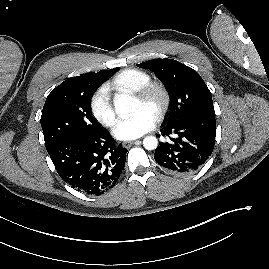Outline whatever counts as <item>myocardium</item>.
<instances>
[{"label": "myocardium", "instance_id": "f54148a6", "mask_svg": "<svg viewBox=\"0 0 269 269\" xmlns=\"http://www.w3.org/2000/svg\"><path fill=\"white\" fill-rule=\"evenodd\" d=\"M134 96L137 100L141 102H148L155 96L159 97V105L156 110V119H162L167 113L171 96L167 87L159 81H149L140 87L135 93Z\"/></svg>", "mask_w": 269, "mask_h": 269}]
</instances>
